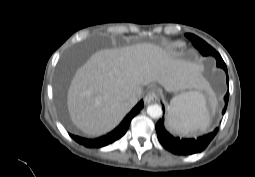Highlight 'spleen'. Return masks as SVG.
Wrapping results in <instances>:
<instances>
[{
	"instance_id": "1",
	"label": "spleen",
	"mask_w": 255,
	"mask_h": 177,
	"mask_svg": "<svg viewBox=\"0 0 255 177\" xmlns=\"http://www.w3.org/2000/svg\"><path fill=\"white\" fill-rule=\"evenodd\" d=\"M209 124L210 114L202 93L181 94L171 100L168 126L174 132L186 135L196 129L204 131Z\"/></svg>"
}]
</instances>
